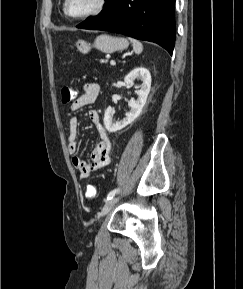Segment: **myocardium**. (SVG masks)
Listing matches in <instances>:
<instances>
[{
	"mask_svg": "<svg viewBox=\"0 0 243 289\" xmlns=\"http://www.w3.org/2000/svg\"><path fill=\"white\" fill-rule=\"evenodd\" d=\"M69 1L70 0H65L64 1V12L66 13V15L72 19L75 20H82V19H87L93 16H96L98 14H100L106 7L107 4V0H98L96 7L91 10L90 12H87L85 14L82 15H72L69 12Z\"/></svg>",
	"mask_w": 243,
	"mask_h": 289,
	"instance_id": "obj_1",
	"label": "myocardium"
}]
</instances>
